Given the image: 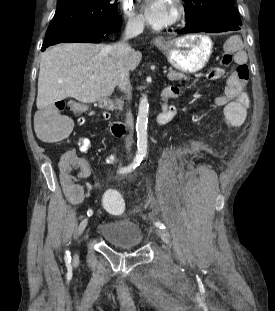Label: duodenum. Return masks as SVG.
<instances>
[{"mask_svg":"<svg viewBox=\"0 0 275 311\" xmlns=\"http://www.w3.org/2000/svg\"><path fill=\"white\" fill-rule=\"evenodd\" d=\"M162 100H165L164 97H162ZM101 107L106 109H113L115 107V103L111 99H104L101 101ZM111 132L115 136H123L127 133V126L120 122V121H114L110 126Z\"/></svg>","mask_w":275,"mask_h":311,"instance_id":"duodenum-1","label":"duodenum"}]
</instances>
